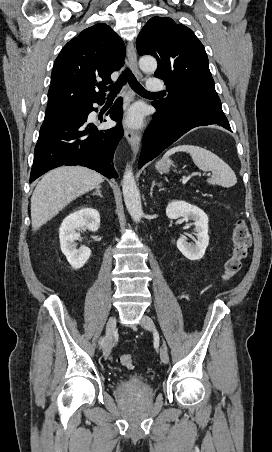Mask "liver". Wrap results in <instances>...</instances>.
<instances>
[{"label": "liver", "mask_w": 272, "mask_h": 452, "mask_svg": "<svg viewBox=\"0 0 272 452\" xmlns=\"http://www.w3.org/2000/svg\"><path fill=\"white\" fill-rule=\"evenodd\" d=\"M104 178L81 166H62L51 170L38 182L31 197L33 231L55 217L70 202L99 186Z\"/></svg>", "instance_id": "obj_1"}]
</instances>
